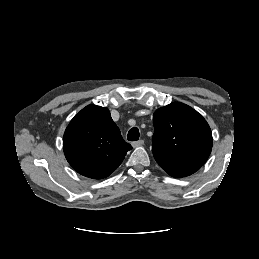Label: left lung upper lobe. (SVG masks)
I'll return each mask as SVG.
<instances>
[{"mask_svg":"<svg viewBox=\"0 0 259 259\" xmlns=\"http://www.w3.org/2000/svg\"><path fill=\"white\" fill-rule=\"evenodd\" d=\"M152 152L156 161L202 166L212 150V133L193 108L174 102L153 114Z\"/></svg>","mask_w":259,"mask_h":259,"instance_id":"1","label":"left lung upper lobe"}]
</instances>
